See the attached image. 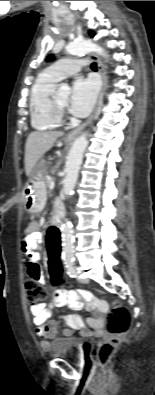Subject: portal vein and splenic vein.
<instances>
[{"instance_id": "portal-vein-and-splenic-vein-1", "label": "portal vein and splenic vein", "mask_w": 155, "mask_h": 395, "mask_svg": "<svg viewBox=\"0 0 155 395\" xmlns=\"http://www.w3.org/2000/svg\"><path fill=\"white\" fill-rule=\"evenodd\" d=\"M49 187H50V189H53L55 187V183L51 182Z\"/></svg>"}]
</instances>
